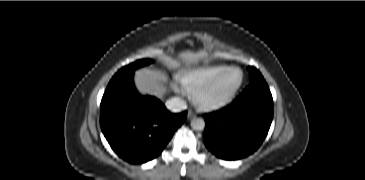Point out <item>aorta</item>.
Listing matches in <instances>:
<instances>
[{
  "instance_id": "obj_1",
  "label": "aorta",
  "mask_w": 365,
  "mask_h": 180,
  "mask_svg": "<svg viewBox=\"0 0 365 180\" xmlns=\"http://www.w3.org/2000/svg\"><path fill=\"white\" fill-rule=\"evenodd\" d=\"M191 127L194 130L201 131V130H203L205 128V122L201 118H194L191 121Z\"/></svg>"
}]
</instances>
